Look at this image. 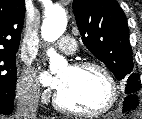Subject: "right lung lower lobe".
Segmentation results:
<instances>
[{
  "mask_svg": "<svg viewBox=\"0 0 142 119\" xmlns=\"http://www.w3.org/2000/svg\"><path fill=\"white\" fill-rule=\"evenodd\" d=\"M15 93L0 92V114H11L14 106Z\"/></svg>",
  "mask_w": 142,
  "mask_h": 119,
  "instance_id": "obj_1",
  "label": "right lung lower lobe"
}]
</instances>
